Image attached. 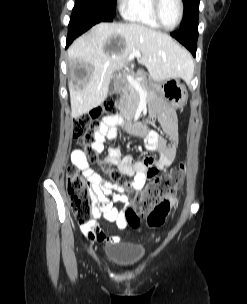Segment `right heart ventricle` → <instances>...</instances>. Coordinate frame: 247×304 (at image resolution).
I'll list each match as a JSON object with an SVG mask.
<instances>
[{
  "mask_svg": "<svg viewBox=\"0 0 247 304\" xmlns=\"http://www.w3.org/2000/svg\"><path fill=\"white\" fill-rule=\"evenodd\" d=\"M121 13L128 21L154 29L160 28L154 17L152 0H123Z\"/></svg>",
  "mask_w": 247,
  "mask_h": 304,
  "instance_id": "e07e8e85",
  "label": "right heart ventricle"
}]
</instances>
